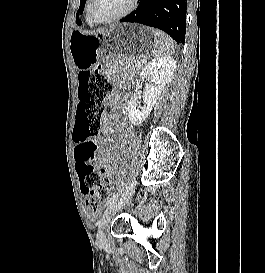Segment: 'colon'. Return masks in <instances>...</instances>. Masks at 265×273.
I'll return each instance as SVG.
<instances>
[{
  "label": "colon",
  "mask_w": 265,
  "mask_h": 273,
  "mask_svg": "<svg viewBox=\"0 0 265 273\" xmlns=\"http://www.w3.org/2000/svg\"><path fill=\"white\" fill-rule=\"evenodd\" d=\"M112 89L109 80L98 71L82 69L78 74V112L72 139L75 170L81 191L88 196L87 206L94 208L108 197L105 178L94 166L96 154L103 150L106 141L98 137L102 118L106 114L105 97ZM92 138V140H90Z\"/></svg>",
  "instance_id": "colon-1"
}]
</instances>
